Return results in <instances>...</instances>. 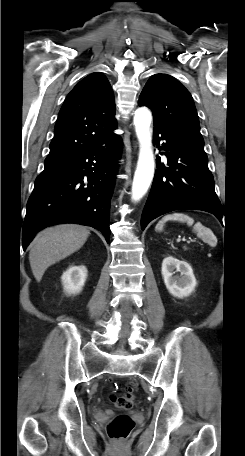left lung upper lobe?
Listing matches in <instances>:
<instances>
[{
    "instance_id": "5c2ea615",
    "label": "left lung upper lobe",
    "mask_w": 245,
    "mask_h": 456,
    "mask_svg": "<svg viewBox=\"0 0 245 456\" xmlns=\"http://www.w3.org/2000/svg\"><path fill=\"white\" fill-rule=\"evenodd\" d=\"M138 104L152 110L154 125L170 127L204 145L192 96L174 77L153 75L143 88Z\"/></svg>"
}]
</instances>
